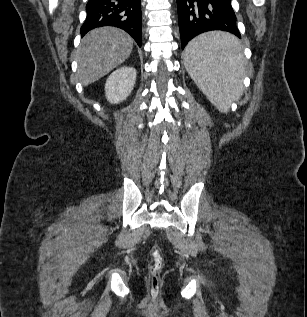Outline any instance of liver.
I'll return each instance as SVG.
<instances>
[{"label":"liver","instance_id":"liver-1","mask_svg":"<svg viewBox=\"0 0 307 317\" xmlns=\"http://www.w3.org/2000/svg\"><path fill=\"white\" fill-rule=\"evenodd\" d=\"M133 39L115 27H100L87 33L78 48L77 75L87 86L122 64L131 54Z\"/></svg>","mask_w":307,"mask_h":317}]
</instances>
